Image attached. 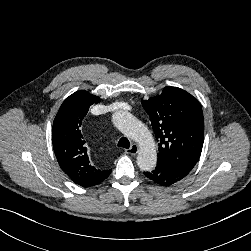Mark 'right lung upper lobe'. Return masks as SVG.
I'll use <instances>...</instances> for the list:
<instances>
[{
  "instance_id": "cb5924a9",
  "label": "right lung upper lobe",
  "mask_w": 251,
  "mask_h": 251,
  "mask_svg": "<svg viewBox=\"0 0 251 251\" xmlns=\"http://www.w3.org/2000/svg\"><path fill=\"white\" fill-rule=\"evenodd\" d=\"M99 102L98 96L85 90L73 93L61 105L52 128L53 148L60 167L73 182L83 187L99 184L111 172L92 165L81 134L82 120L89 107Z\"/></svg>"
}]
</instances>
